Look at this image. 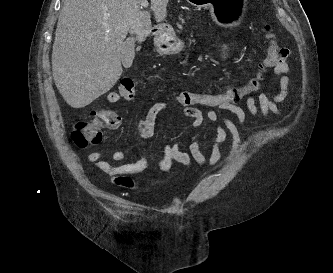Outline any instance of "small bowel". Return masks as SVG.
Segmentation results:
<instances>
[{
  "label": "small bowel",
  "mask_w": 333,
  "mask_h": 273,
  "mask_svg": "<svg viewBox=\"0 0 333 273\" xmlns=\"http://www.w3.org/2000/svg\"><path fill=\"white\" fill-rule=\"evenodd\" d=\"M276 55L278 56V61L274 62L272 68L274 70L275 83L278 86V91L275 93L260 92L256 98L244 96L242 98H244L245 103L241 105L240 109H207L204 113L200 109H196L195 105H193L192 109H185L184 105L177 100L175 103L167 101L155 102L147 108L146 114L138 121L139 135L143 140L153 138L158 116L170 108L177 109L195 126H200L205 118L216 123V135L211 144V151L208 158L200 151V143L198 140H194L190 143L189 152L182 151L177 140L170 141L163 148V155L159 166V173L161 175L168 172L173 162L181 164L186 169H191L194 163L202 168L215 167L221 158L220 144L226 140L228 134L232 138L229 154L231 157H234L241 143L238 125L242 127L246 126L247 113L253 117L262 116L263 118H268L270 115H275L280 118L283 116L280 106L284 103L292 86L291 80L287 76L290 72V67L287 62L289 50L285 47H279ZM219 94L230 93L226 91ZM108 102H132V95H120L117 92H112L108 95ZM225 111L231 112L235 116L237 123L227 117L224 114ZM102 112H107V107H102ZM120 126L121 120L117 117V122L109 128L115 130ZM127 154V151L117 150L112 153L111 158L114 162H121L126 158ZM87 159L90 162H95L101 170L111 175L117 185L132 188L135 184L128 176L144 171L148 164V153L144 151L138 160L119 165L105 160L103 153L99 150L90 152Z\"/></svg>",
  "instance_id": "1"
}]
</instances>
